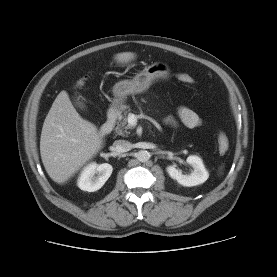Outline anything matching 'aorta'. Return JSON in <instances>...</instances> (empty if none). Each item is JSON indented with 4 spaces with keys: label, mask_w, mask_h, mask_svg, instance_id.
<instances>
[{
    "label": "aorta",
    "mask_w": 277,
    "mask_h": 277,
    "mask_svg": "<svg viewBox=\"0 0 277 277\" xmlns=\"http://www.w3.org/2000/svg\"><path fill=\"white\" fill-rule=\"evenodd\" d=\"M150 158V153L146 150H140L138 153H137V159L140 161V162H146L148 161Z\"/></svg>",
    "instance_id": "obj_1"
}]
</instances>
